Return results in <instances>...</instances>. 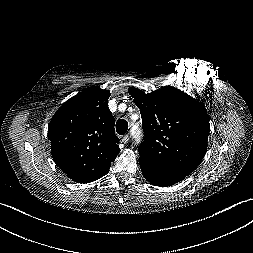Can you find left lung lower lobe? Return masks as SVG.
I'll return each instance as SVG.
<instances>
[{
  "instance_id": "1",
  "label": "left lung lower lobe",
  "mask_w": 253,
  "mask_h": 253,
  "mask_svg": "<svg viewBox=\"0 0 253 253\" xmlns=\"http://www.w3.org/2000/svg\"><path fill=\"white\" fill-rule=\"evenodd\" d=\"M142 173L147 181L154 186L167 187L183 180L187 175L168 172L154 168L149 163L139 158Z\"/></svg>"
}]
</instances>
